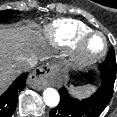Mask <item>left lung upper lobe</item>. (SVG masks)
Here are the masks:
<instances>
[{
  "instance_id": "left-lung-upper-lobe-1",
  "label": "left lung upper lobe",
  "mask_w": 117,
  "mask_h": 117,
  "mask_svg": "<svg viewBox=\"0 0 117 117\" xmlns=\"http://www.w3.org/2000/svg\"><path fill=\"white\" fill-rule=\"evenodd\" d=\"M101 65L110 69H116V59L113 47L109 50L105 61Z\"/></svg>"
}]
</instances>
